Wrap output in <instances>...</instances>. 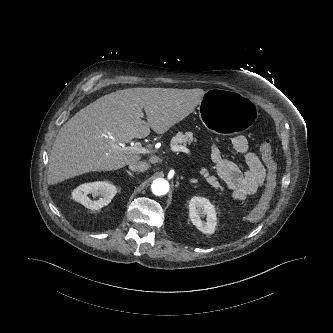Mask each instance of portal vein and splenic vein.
<instances>
[{"mask_svg":"<svg viewBox=\"0 0 333 333\" xmlns=\"http://www.w3.org/2000/svg\"><path fill=\"white\" fill-rule=\"evenodd\" d=\"M116 148H118L119 150L123 151L126 154H147V153H151L153 150L149 149V148H145L142 147V144L140 142H136L134 145L131 146H127L125 147L123 144H120V146H116ZM172 151L174 152H184L188 155H190V150L182 145H177V146H173L171 148Z\"/></svg>","mask_w":333,"mask_h":333,"instance_id":"1","label":"portal vein and splenic vein"}]
</instances>
